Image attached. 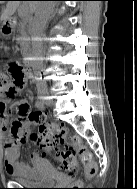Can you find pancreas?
<instances>
[{
	"label": "pancreas",
	"mask_w": 137,
	"mask_h": 189,
	"mask_svg": "<svg viewBox=\"0 0 137 189\" xmlns=\"http://www.w3.org/2000/svg\"><path fill=\"white\" fill-rule=\"evenodd\" d=\"M19 35L17 37V40L20 42V44L22 46H25L27 41H28V37H27V34L25 32V23H21L19 25Z\"/></svg>",
	"instance_id": "pancreas-1"
}]
</instances>
